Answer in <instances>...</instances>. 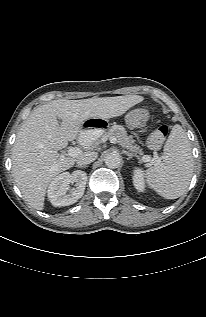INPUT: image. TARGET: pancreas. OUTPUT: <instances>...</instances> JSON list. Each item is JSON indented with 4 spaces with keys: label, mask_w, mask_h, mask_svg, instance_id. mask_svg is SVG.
<instances>
[{
    "label": "pancreas",
    "mask_w": 206,
    "mask_h": 317,
    "mask_svg": "<svg viewBox=\"0 0 206 317\" xmlns=\"http://www.w3.org/2000/svg\"><path fill=\"white\" fill-rule=\"evenodd\" d=\"M108 136L115 137L119 145H121L122 148L127 149L134 156L139 157L140 155H143V152L141 151V149L137 145L134 144L135 141L126 134V131L124 128L116 126L113 133Z\"/></svg>",
    "instance_id": "obj_1"
}]
</instances>
